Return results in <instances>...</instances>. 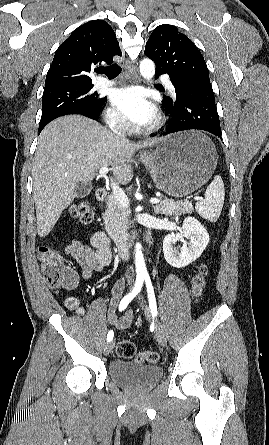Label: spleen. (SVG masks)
<instances>
[{
    "mask_svg": "<svg viewBox=\"0 0 269 445\" xmlns=\"http://www.w3.org/2000/svg\"><path fill=\"white\" fill-rule=\"evenodd\" d=\"M225 198L224 183L216 175L205 191V198L196 203V211L204 219L216 222L221 214Z\"/></svg>",
    "mask_w": 269,
    "mask_h": 445,
    "instance_id": "obj_1",
    "label": "spleen"
}]
</instances>
